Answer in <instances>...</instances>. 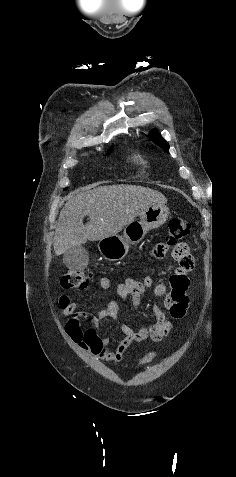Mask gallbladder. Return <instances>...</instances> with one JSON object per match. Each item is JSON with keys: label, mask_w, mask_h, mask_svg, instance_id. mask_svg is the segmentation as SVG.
<instances>
[{"label": "gallbladder", "mask_w": 236, "mask_h": 477, "mask_svg": "<svg viewBox=\"0 0 236 477\" xmlns=\"http://www.w3.org/2000/svg\"><path fill=\"white\" fill-rule=\"evenodd\" d=\"M89 260L88 252L82 246H75L66 251L63 255L64 264L72 270H82Z\"/></svg>", "instance_id": "gallbladder-1"}]
</instances>
